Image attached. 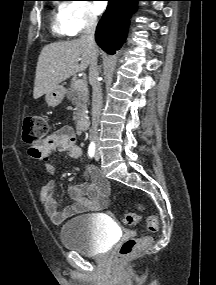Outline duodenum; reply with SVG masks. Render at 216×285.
<instances>
[{
	"label": "duodenum",
	"mask_w": 216,
	"mask_h": 285,
	"mask_svg": "<svg viewBox=\"0 0 216 285\" xmlns=\"http://www.w3.org/2000/svg\"><path fill=\"white\" fill-rule=\"evenodd\" d=\"M89 126V120L87 117H80L78 120V128L80 130H86Z\"/></svg>",
	"instance_id": "410a0bca"
}]
</instances>
